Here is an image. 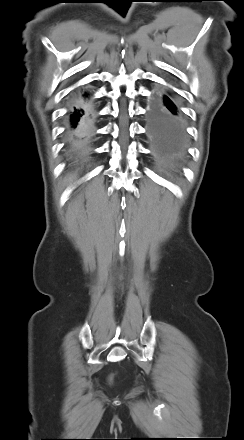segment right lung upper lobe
I'll return each mask as SVG.
<instances>
[{"label":"right lung upper lobe","mask_w":244,"mask_h":440,"mask_svg":"<svg viewBox=\"0 0 244 440\" xmlns=\"http://www.w3.org/2000/svg\"><path fill=\"white\" fill-rule=\"evenodd\" d=\"M83 96H84V97H86L87 95H86V94H84Z\"/></svg>","instance_id":"obj_1"}]
</instances>
